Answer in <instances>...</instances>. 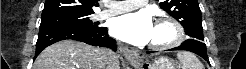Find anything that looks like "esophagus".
<instances>
[{
	"label": "esophagus",
	"mask_w": 246,
	"mask_h": 69,
	"mask_svg": "<svg viewBox=\"0 0 246 69\" xmlns=\"http://www.w3.org/2000/svg\"><path fill=\"white\" fill-rule=\"evenodd\" d=\"M120 52L124 57L131 63L136 62L140 59V55L137 49L129 46H120Z\"/></svg>",
	"instance_id": "1"
}]
</instances>
